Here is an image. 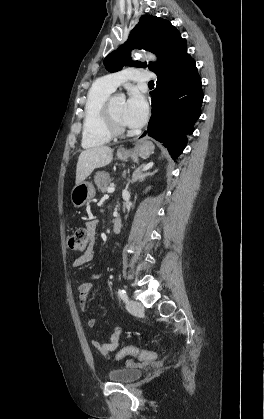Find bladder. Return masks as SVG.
I'll return each instance as SVG.
<instances>
[{"mask_svg":"<svg viewBox=\"0 0 264 419\" xmlns=\"http://www.w3.org/2000/svg\"><path fill=\"white\" fill-rule=\"evenodd\" d=\"M143 374V371L134 366L126 365L124 367L112 369L108 372V378L113 382L118 383H132L138 380Z\"/></svg>","mask_w":264,"mask_h":419,"instance_id":"bladder-1","label":"bladder"}]
</instances>
